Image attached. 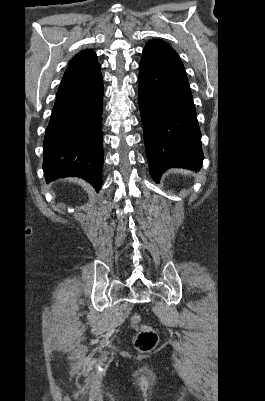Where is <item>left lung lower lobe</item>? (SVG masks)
Instances as JSON below:
<instances>
[{"label": "left lung lower lobe", "instance_id": "obj_1", "mask_svg": "<svg viewBox=\"0 0 265 401\" xmlns=\"http://www.w3.org/2000/svg\"><path fill=\"white\" fill-rule=\"evenodd\" d=\"M139 108L153 179L172 167L199 170L201 132L185 70L142 58Z\"/></svg>", "mask_w": 265, "mask_h": 401}]
</instances>
